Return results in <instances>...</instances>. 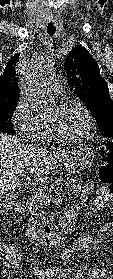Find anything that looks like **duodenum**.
Instances as JSON below:
<instances>
[{"instance_id": "1", "label": "duodenum", "mask_w": 113, "mask_h": 279, "mask_svg": "<svg viewBox=\"0 0 113 279\" xmlns=\"http://www.w3.org/2000/svg\"><path fill=\"white\" fill-rule=\"evenodd\" d=\"M79 210L71 208L67 210L60 220L54 225L36 227L28 224L25 229L26 236L43 248L57 244L71 230L78 216ZM80 243L86 244L87 239H81Z\"/></svg>"}]
</instances>
